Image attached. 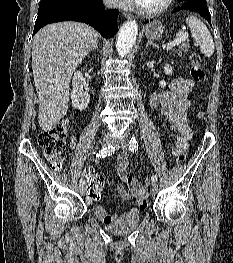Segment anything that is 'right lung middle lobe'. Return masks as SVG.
Wrapping results in <instances>:
<instances>
[{
  "label": "right lung middle lobe",
  "instance_id": "right-lung-middle-lobe-1",
  "mask_svg": "<svg viewBox=\"0 0 233 263\" xmlns=\"http://www.w3.org/2000/svg\"><path fill=\"white\" fill-rule=\"evenodd\" d=\"M80 0H41L37 18L56 11H72Z\"/></svg>",
  "mask_w": 233,
  "mask_h": 263
}]
</instances>
